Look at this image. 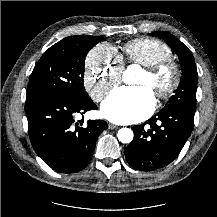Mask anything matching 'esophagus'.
Instances as JSON below:
<instances>
[{
  "label": "esophagus",
  "mask_w": 217,
  "mask_h": 217,
  "mask_svg": "<svg viewBox=\"0 0 217 217\" xmlns=\"http://www.w3.org/2000/svg\"><path fill=\"white\" fill-rule=\"evenodd\" d=\"M108 128L111 129V130H113V129H116L117 126L114 125V124L109 123V124H108Z\"/></svg>",
  "instance_id": "34e87169"
}]
</instances>
